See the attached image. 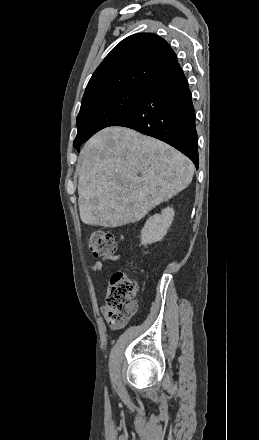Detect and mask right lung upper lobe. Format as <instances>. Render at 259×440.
<instances>
[{
	"instance_id": "right-lung-upper-lobe-1",
	"label": "right lung upper lobe",
	"mask_w": 259,
	"mask_h": 440,
	"mask_svg": "<svg viewBox=\"0 0 259 440\" xmlns=\"http://www.w3.org/2000/svg\"><path fill=\"white\" fill-rule=\"evenodd\" d=\"M177 56L168 43L153 33H138L122 40L93 73L82 104L125 88H150L175 65Z\"/></svg>"
}]
</instances>
